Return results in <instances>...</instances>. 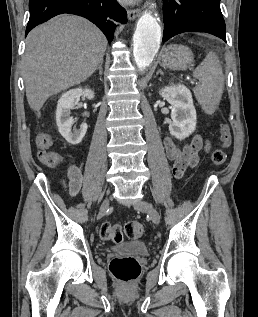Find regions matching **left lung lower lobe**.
<instances>
[{
	"instance_id": "obj_1",
	"label": "left lung lower lobe",
	"mask_w": 258,
	"mask_h": 317,
	"mask_svg": "<svg viewBox=\"0 0 258 317\" xmlns=\"http://www.w3.org/2000/svg\"><path fill=\"white\" fill-rule=\"evenodd\" d=\"M162 41L183 32H206L226 42L220 0H164Z\"/></svg>"
}]
</instances>
